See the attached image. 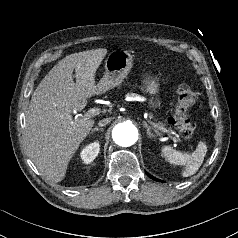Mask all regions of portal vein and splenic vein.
Listing matches in <instances>:
<instances>
[{
    "mask_svg": "<svg viewBox=\"0 0 238 238\" xmlns=\"http://www.w3.org/2000/svg\"><path fill=\"white\" fill-rule=\"evenodd\" d=\"M100 112H101V111H100L99 108H90V109L87 111V113L84 114L83 116H84V117H93V116L98 115ZM151 124H152L155 128L158 129V127H157V125H156L155 123H152V122H151ZM159 130H161L162 132L168 133V130H166V129H159Z\"/></svg>",
    "mask_w": 238,
    "mask_h": 238,
    "instance_id": "1",
    "label": "portal vein and splenic vein"
}]
</instances>
